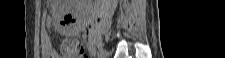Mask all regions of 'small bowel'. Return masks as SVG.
<instances>
[{
    "instance_id": "1",
    "label": "small bowel",
    "mask_w": 225,
    "mask_h": 58,
    "mask_svg": "<svg viewBox=\"0 0 225 58\" xmlns=\"http://www.w3.org/2000/svg\"><path fill=\"white\" fill-rule=\"evenodd\" d=\"M46 24L49 26L52 24V19L48 17L46 19ZM68 37L62 42L59 52H56L53 49L52 43L50 40L46 41L43 44L42 51L48 55L49 58H64L66 57L68 49L76 44L73 37L78 33V29L71 28L66 31Z\"/></svg>"
}]
</instances>
